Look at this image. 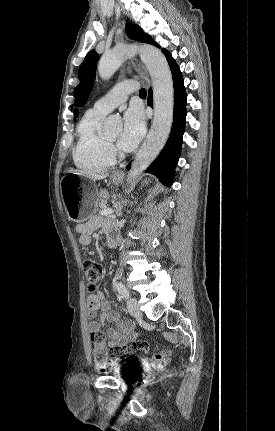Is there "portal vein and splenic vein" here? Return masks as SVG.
Instances as JSON below:
<instances>
[{
    "label": "portal vein and splenic vein",
    "mask_w": 275,
    "mask_h": 431,
    "mask_svg": "<svg viewBox=\"0 0 275 431\" xmlns=\"http://www.w3.org/2000/svg\"><path fill=\"white\" fill-rule=\"evenodd\" d=\"M114 213V210L113 209H110V208H108V209H103V210H101L100 212H99V214L100 215H102V216H109V215H112Z\"/></svg>",
    "instance_id": "18ae733b"
}]
</instances>
